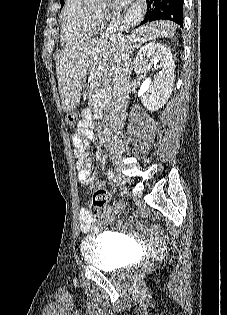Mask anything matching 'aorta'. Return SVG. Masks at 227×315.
Returning a JSON list of instances; mask_svg holds the SVG:
<instances>
[{
    "instance_id": "obj_1",
    "label": "aorta",
    "mask_w": 227,
    "mask_h": 315,
    "mask_svg": "<svg viewBox=\"0 0 227 315\" xmlns=\"http://www.w3.org/2000/svg\"><path fill=\"white\" fill-rule=\"evenodd\" d=\"M87 3L90 4H104L107 0H85Z\"/></svg>"
}]
</instances>
